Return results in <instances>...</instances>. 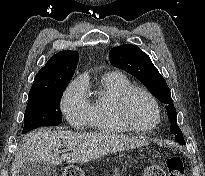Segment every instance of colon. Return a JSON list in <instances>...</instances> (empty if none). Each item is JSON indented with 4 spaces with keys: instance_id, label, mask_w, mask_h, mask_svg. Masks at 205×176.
Instances as JSON below:
<instances>
[{
    "instance_id": "colon-1",
    "label": "colon",
    "mask_w": 205,
    "mask_h": 176,
    "mask_svg": "<svg viewBox=\"0 0 205 176\" xmlns=\"http://www.w3.org/2000/svg\"><path fill=\"white\" fill-rule=\"evenodd\" d=\"M167 171L157 165L150 166L146 170L147 176H184V166L182 161L176 157L171 156L166 160ZM62 176H82V171L77 166H67L62 171Z\"/></svg>"
}]
</instances>
